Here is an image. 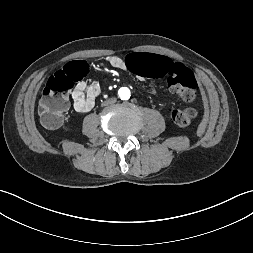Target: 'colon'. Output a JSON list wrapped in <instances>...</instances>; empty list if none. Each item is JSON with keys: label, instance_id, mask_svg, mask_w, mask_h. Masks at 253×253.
<instances>
[{"label": "colon", "instance_id": "5ec220e1", "mask_svg": "<svg viewBox=\"0 0 253 253\" xmlns=\"http://www.w3.org/2000/svg\"><path fill=\"white\" fill-rule=\"evenodd\" d=\"M127 67L138 77L167 78L171 90L184 101L196 100L197 81L194 74L183 64L174 62L167 56L156 52H133L127 58ZM88 72L85 62L77 61L57 71L47 81L39 103L41 123L47 128H56L69 107L68 96L76 82L82 80ZM193 107L176 109L172 119L180 127H187L196 118Z\"/></svg>", "mask_w": 253, "mask_h": 253}]
</instances>
